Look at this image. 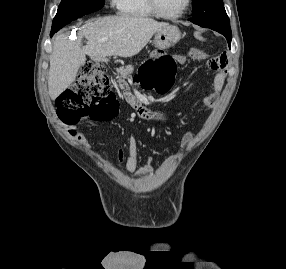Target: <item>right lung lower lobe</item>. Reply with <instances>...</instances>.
Here are the masks:
<instances>
[{
  "label": "right lung lower lobe",
  "mask_w": 286,
  "mask_h": 269,
  "mask_svg": "<svg viewBox=\"0 0 286 269\" xmlns=\"http://www.w3.org/2000/svg\"><path fill=\"white\" fill-rule=\"evenodd\" d=\"M57 30H51L50 36L52 37Z\"/></svg>",
  "instance_id": "obj_1"
}]
</instances>
